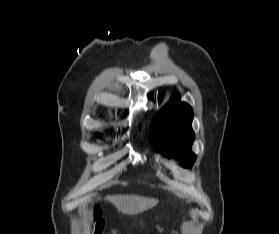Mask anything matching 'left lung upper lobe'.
Here are the masks:
<instances>
[{"label": "left lung upper lobe", "instance_id": "left-lung-upper-lobe-1", "mask_svg": "<svg viewBox=\"0 0 279 234\" xmlns=\"http://www.w3.org/2000/svg\"><path fill=\"white\" fill-rule=\"evenodd\" d=\"M192 119V108L174 95L159 111L152 127L154 147L166 157L180 160L183 167H191L196 159L191 151L195 139Z\"/></svg>", "mask_w": 279, "mask_h": 234}]
</instances>
